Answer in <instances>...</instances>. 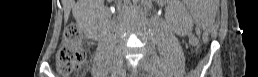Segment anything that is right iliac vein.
I'll list each match as a JSON object with an SVG mask.
<instances>
[{"instance_id": "right-iliac-vein-1", "label": "right iliac vein", "mask_w": 258, "mask_h": 77, "mask_svg": "<svg viewBox=\"0 0 258 77\" xmlns=\"http://www.w3.org/2000/svg\"><path fill=\"white\" fill-rule=\"evenodd\" d=\"M123 71V57L121 54L115 56L111 73L113 76L119 75Z\"/></svg>"}]
</instances>
